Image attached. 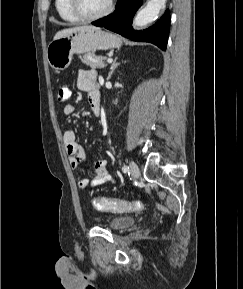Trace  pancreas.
I'll use <instances>...</instances> for the list:
<instances>
[{"mask_svg":"<svg viewBox=\"0 0 243 289\" xmlns=\"http://www.w3.org/2000/svg\"><path fill=\"white\" fill-rule=\"evenodd\" d=\"M79 58L81 59L82 63L90 66L93 69L96 68H104L106 67V64L104 63V60L106 59L103 56H96L93 53H87L84 54L83 56H79Z\"/></svg>","mask_w":243,"mask_h":289,"instance_id":"1","label":"pancreas"}]
</instances>
